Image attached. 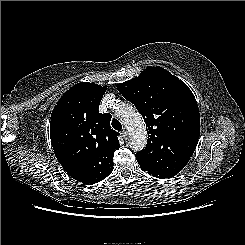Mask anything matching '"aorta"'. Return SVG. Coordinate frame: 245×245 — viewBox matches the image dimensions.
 <instances>
[{"label": "aorta", "mask_w": 245, "mask_h": 245, "mask_svg": "<svg viewBox=\"0 0 245 245\" xmlns=\"http://www.w3.org/2000/svg\"><path fill=\"white\" fill-rule=\"evenodd\" d=\"M115 114L129 131L130 147L135 151L143 149L147 143V131L140 113L130 104L120 103L116 107Z\"/></svg>", "instance_id": "1"}]
</instances>
